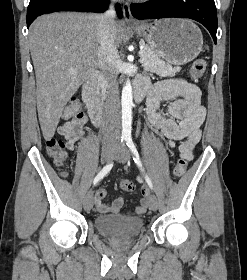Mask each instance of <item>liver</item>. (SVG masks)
Instances as JSON below:
<instances>
[{
    "label": "liver",
    "mask_w": 247,
    "mask_h": 280,
    "mask_svg": "<svg viewBox=\"0 0 247 280\" xmlns=\"http://www.w3.org/2000/svg\"><path fill=\"white\" fill-rule=\"evenodd\" d=\"M98 25L97 14L52 13L38 17L30 26L37 111L45 140L54 136L67 102L99 66ZM115 25V45H119L124 23Z\"/></svg>",
    "instance_id": "1"
}]
</instances>
